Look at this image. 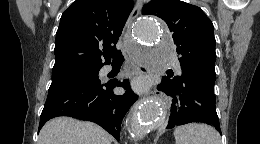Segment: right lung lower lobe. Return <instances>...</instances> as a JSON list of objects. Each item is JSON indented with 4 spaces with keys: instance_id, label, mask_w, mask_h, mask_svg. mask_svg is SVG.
<instances>
[{
    "instance_id": "obj_1",
    "label": "right lung lower lobe",
    "mask_w": 260,
    "mask_h": 144,
    "mask_svg": "<svg viewBox=\"0 0 260 144\" xmlns=\"http://www.w3.org/2000/svg\"><path fill=\"white\" fill-rule=\"evenodd\" d=\"M116 86L125 87L126 93L115 95L113 89ZM137 99L126 80L69 82L52 86L41 113L39 130L51 118L70 116L97 123L119 141L123 117Z\"/></svg>"
}]
</instances>
